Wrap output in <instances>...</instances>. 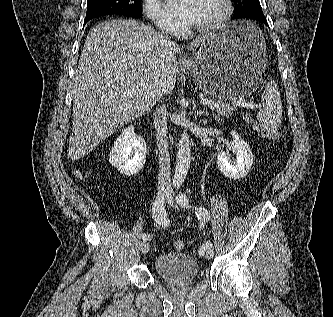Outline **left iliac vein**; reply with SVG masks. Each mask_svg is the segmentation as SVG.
Masks as SVG:
<instances>
[{
    "mask_svg": "<svg viewBox=\"0 0 333 317\" xmlns=\"http://www.w3.org/2000/svg\"><path fill=\"white\" fill-rule=\"evenodd\" d=\"M165 201L172 207L174 208H177L178 207L174 204V198H173V195L172 193H168L166 198H165ZM213 254H214V248L212 246V244L210 242H208V246L206 247L205 249V257L207 259H211L213 257Z\"/></svg>",
    "mask_w": 333,
    "mask_h": 317,
    "instance_id": "left-iliac-vein-1",
    "label": "left iliac vein"
}]
</instances>
